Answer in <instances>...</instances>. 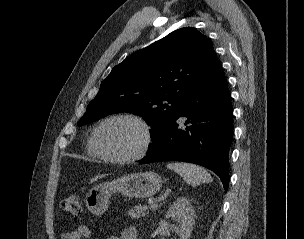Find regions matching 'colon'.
Listing matches in <instances>:
<instances>
[{
    "label": "colon",
    "instance_id": "colon-1",
    "mask_svg": "<svg viewBox=\"0 0 304 239\" xmlns=\"http://www.w3.org/2000/svg\"><path fill=\"white\" fill-rule=\"evenodd\" d=\"M61 208L68 214L78 215L81 212V198L78 195H69L62 199Z\"/></svg>",
    "mask_w": 304,
    "mask_h": 239
}]
</instances>
